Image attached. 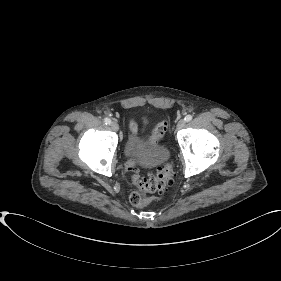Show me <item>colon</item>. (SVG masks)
<instances>
[{
	"label": "colon",
	"mask_w": 281,
	"mask_h": 281,
	"mask_svg": "<svg viewBox=\"0 0 281 281\" xmlns=\"http://www.w3.org/2000/svg\"><path fill=\"white\" fill-rule=\"evenodd\" d=\"M168 128V122L159 123L149 138L152 143H158L165 135ZM125 170L130 175L131 183L136 189L130 193V202L135 207H144L151 202V198L144 193H162L173 184V170L171 165H166L156 170L148 177L141 176L137 171V162L128 160L125 164Z\"/></svg>",
	"instance_id": "1"
}]
</instances>
